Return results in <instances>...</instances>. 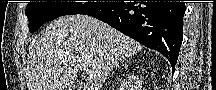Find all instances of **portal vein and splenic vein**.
Returning <instances> with one entry per match:
<instances>
[{"label": "portal vein and splenic vein", "instance_id": "portal-vein-and-splenic-vein-1", "mask_svg": "<svg viewBox=\"0 0 216 90\" xmlns=\"http://www.w3.org/2000/svg\"><path fill=\"white\" fill-rule=\"evenodd\" d=\"M83 70H84V72H87L86 66H83Z\"/></svg>", "mask_w": 216, "mask_h": 90}]
</instances>
